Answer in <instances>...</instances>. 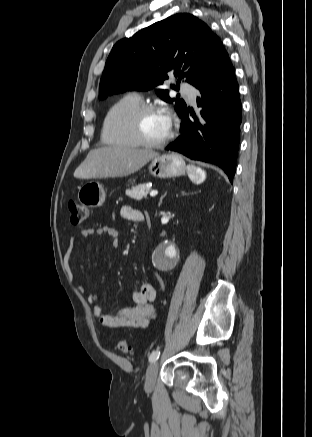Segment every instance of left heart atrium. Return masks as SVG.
Instances as JSON below:
<instances>
[{
	"instance_id": "39dd6f15",
	"label": "left heart atrium",
	"mask_w": 312,
	"mask_h": 437,
	"mask_svg": "<svg viewBox=\"0 0 312 437\" xmlns=\"http://www.w3.org/2000/svg\"><path fill=\"white\" fill-rule=\"evenodd\" d=\"M164 115H165V118H166V120H167V122H168L169 129H170V128H171V117H170L169 114H164Z\"/></svg>"
}]
</instances>
